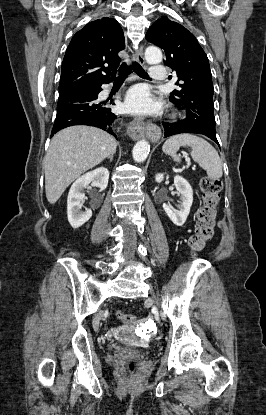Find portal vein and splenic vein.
Returning a JSON list of instances; mask_svg holds the SVG:
<instances>
[{"label":"portal vein and splenic vein","instance_id":"obj_1","mask_svg":"<svg viewBox=\"0 0 266 415\" xmlns=\"http://www.w3.org/2000/svg\"><path fill=\"white\" fill-rule=\"evenodd\" d=\"M186 160H187V162H188V164H187V166H186V167L188 168V167L190 166V163H189V162H190V159H189L188 157H186Z\"/></svg>","mask_w":266,"mask_h":415}]
</instances>
